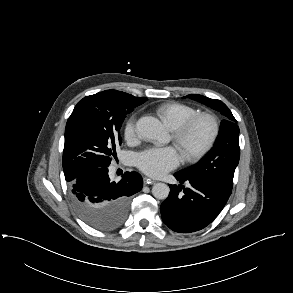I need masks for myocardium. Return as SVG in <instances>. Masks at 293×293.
I'll use <instances>...</instances> for the list:
<instances>
[{"label":"myocardium","mask_w":293,"mask_h":293,"mask_svg":"<svg viewBox=\"0 0 293 293\" xmlns=\"http://www.w3.org/2000/svg\"><path fill=\"white\" fill-rule=\"evenodd\" d=\"M204 122L209 126V133L204 143L198 148H191L186 140L193 128ZM220 133V124L218 119L210 113H198L186 120L180 126L172 130L174 143L180 148L183 156L188 162H195L202 159L215 145Z\"/></svg>","instance_id":"myocardium-1"}]
</instances>
